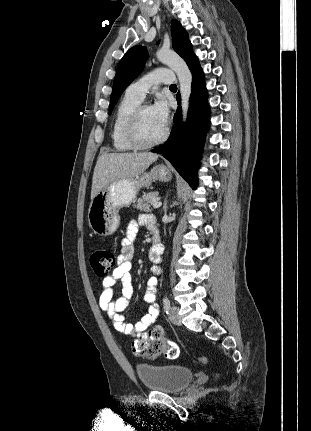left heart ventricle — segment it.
<instances>
[{
    "label": "left heart ventricle",
    "instance_id": "b2bd125f",
    "mask_svg": "<svg viewBox=\"0 0 311 431\" xmlns=\"http://www.w3.org/2000/svg\"><path fill=\"white\" fill-rule=\"evenodd\" d=\"M165 128L162 127L155 119L151 107L146 106L142 119V133L146 140H155L159 138L164 132Z\"/></svg>",
    "mask_w": 311,
    "mask_h": 431
}]
</instances>
